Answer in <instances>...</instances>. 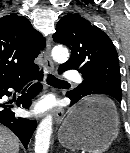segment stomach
Returning a JSON list of instances; mask_svg holds the SVG:
<instances>
[{
	"label": "stomach",
	"mask_w": 130,
	"mask_h": 153,
	"mask_svg": "<svg viewBox=\"0 0 130 153\" xmlns=\"http://www.w3.org/2000/svg\"><path fill=\"white\" fill-rule=\"evenodd\" d=\"M118 127V112L112 101L102 96L88 97L68 111L58 139L68 149L103 153L116 138Z\"/></svg>",
	"instance_id": "1"
}]
</instances>
